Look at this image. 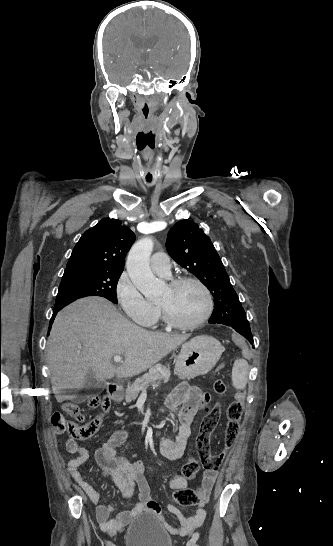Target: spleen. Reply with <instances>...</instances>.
<instances>
[{"label":"spleen","mask_w":333,"mask_h":546,"mask_svg":"<svg viewBox=\"0 0 333 546\" xmlns=\"http://www.w3.org/2000/svg\"><path fill=\"white\" fill-rule=\"evenodd\" d=\"M248 373V362L244 359H236L232 368V384L236 389L246 388Z\"/></svg>","instance_id":"obj_1"}]
</instances>
